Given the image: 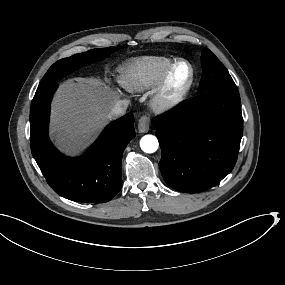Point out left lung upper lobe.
<instances>
[{
	"instance_id": "left-lung-upper-lobe-1",
	"label": "left lung upper lobe",
	"mask_w": 285,
	"mask_h": 285,
	"mask_svg": "<svg viewBox=\"0 0 285 285\" xmlns=\"http://www.w3.org/2000/svg\"><path fill=\"white\" fill-rule=\"evenodd\" d=\"M201 63L202 78L199 84L200 89L210 90L236 87L228 70L210 50H203Z\"/></svg>"
}]
</instances>
